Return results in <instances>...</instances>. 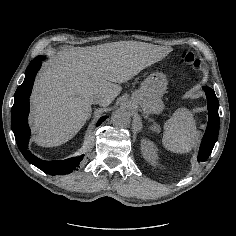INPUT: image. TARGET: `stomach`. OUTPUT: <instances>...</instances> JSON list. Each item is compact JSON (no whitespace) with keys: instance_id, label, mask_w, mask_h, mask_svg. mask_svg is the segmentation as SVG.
<instances>
[{"instance_id":"0dacf381","label":"stomach","mask_w":236,"mask_h":236,"mask_svg":"<svg viewBox=\"0 0 236 236\" xmlns=\"http://www.w3.org/2000/svg\"><path fill=\"white\" fill-rule=\"evenodd\" d=\"M166 88V76L162 73H153L143 81L141 88L133 94L132 101L138 104L144 113H159L163 110L161 98Z\"/></svg>"}]
</instances>
